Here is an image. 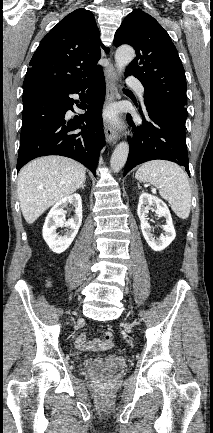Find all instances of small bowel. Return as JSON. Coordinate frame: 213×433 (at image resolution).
Listing matches in <instances>:
<instances>
[{
	"label": "small bowel",
	"instance_id": "c3829d8e",
	"mask_svg": "<svg viewBox=\"0 0 213 433\" xmlns=\"http://www.w3.org/2000/svg\"><path fill=\"white\" fill-rule=\"evenodd\" d=\"M110 345L111 344H108L99 338L88 340L85 335H80L75 340V347L82 351L106 349L109 348Z\"/></svg>",
	"mask_w": 213,
	"mask_h": 433
}]
</instances>
